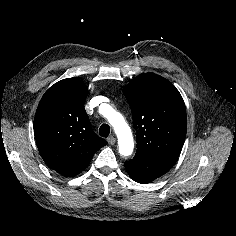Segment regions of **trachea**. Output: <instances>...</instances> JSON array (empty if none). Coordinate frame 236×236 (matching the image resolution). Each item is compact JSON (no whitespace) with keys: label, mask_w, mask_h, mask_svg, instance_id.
Returning a JSON list of instances; mask_svg holds the SVG:
<instances>
[{"label":"trachea","mask_w":236,"mask_h":236,"mask_svg":"<svg viewBox=\"0 0 236 236\" xmlns=\"http://www.w3.org/2000/svg\"><path fill=\"white\" fill-rule=\"evenodd\" d=\"M110 133V127L107 124H102L100 129H99V135L102 137L107 138Z\"/></svg>","instance_id":"trachea-1"}]
</instances>
